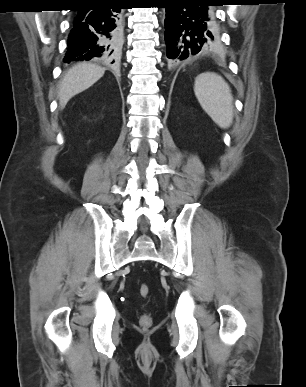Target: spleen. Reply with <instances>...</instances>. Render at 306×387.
Masks as SVG:
<instances>
[{
  "mask_svg": "<svg viewBox=\"0 0 306 387\" xmlns=\"http://www.w3.org/2000/svg\"><path fill=\"white\" fill-rule=\"evenodd\" d=\"M195 95L211 119L223 129L233 121V96L228 83L215 73H202L194 85Z\"/></svg>",
  "mask_w": 306,
  "mask_h": 387,
  "instance_id": "obj_1",
  "label": "spleen"
}]
</instances>
